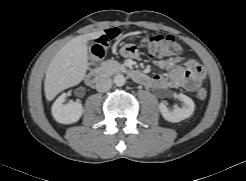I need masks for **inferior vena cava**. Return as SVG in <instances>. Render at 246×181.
Segmentation results:
<instances>
[{
    "label": "inferior vena cava",
    "mask_w": 246,
    "mask_h": 181,
    "mask_svg": "<svg viewBox=\"0 0 246 181\" xmlns=\"http://www.w3.org/2000/svg\"><path fill=\"white\" fill-rule=\"evenodd\" d=\"M95 87L98 92L108 91L112 87V79L108 76H100L96 81Z\"/></svg>",
    "instance_id": "obj_1"
}]
</instances>
